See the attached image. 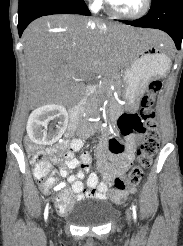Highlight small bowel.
<instances>
[{
	"mask_svg": "<svg viewBox=\"0 0 183 246\" xmlns=\"http://www.w3.org/2000/svg\"><path fill=\"white\" fill-rule=\"evenodd\" d=\"M140 139V134L124 136L123 141L126 152H123V155H111L109 141H100L96 148L99 171L91 172L86 183H83L82 179L85 177V173L91 169V156L88 152H83L79 159L74 157V153L83 148L84 143L82 139L74 138L70 142H64L58 147L48 148L47 153L54 163H58L61 153H64L66 160L59 166V172L71 185V192L75 195L77 201L85 198L106 199L109 190V181L123 176L130 167L135 157L136 144ZM76 168L79 171L70 174L71 170ZM100 174L105 178L104 181L100 180ZM54 182L55 178L53 177L50 185L45 189L47 190ZM54 190L61 192L59 196L64 200L70 201V206L65 211L60 212L62 214L68 213L73 203L70 192L65 190L64 183L55 185Z\"/></svg>",
	"mask_w": 183,
	"mask_h": 246,
	"instance_id": "obj_1",
	"label": "small bowel"
}]
</instances>
